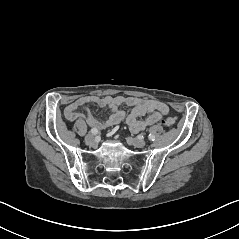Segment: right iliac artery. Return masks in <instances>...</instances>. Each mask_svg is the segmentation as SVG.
Instances as JSON below:
<instances>
[{"instance_id":"obj_1","label":"right iliac artery","mask_w":239,"mask_h":239,"mask_svg":"<svg viewBox=\"0 0 239 239\" xmlns=\"http://www.w3.org/2000/svg\"><path fill=\"white\" fill-rule=\"evenodd\" d=\"M91 133H92L93 135H96V134H98V130H97L96 128H92V129H91Z\"/></svg>"}]
</instances>
